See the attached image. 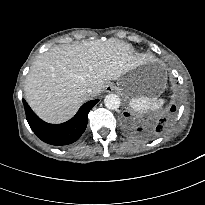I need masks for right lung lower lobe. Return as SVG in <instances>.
Listing matches in <instances>:
<instances>
[{
  "mask_svg": "<svg viewBox=\"0 0 205 205\" xmlns=\"http://www.w3.org/2000/svg\"><path fill=\"white\" fill-rule=\"evenodd\" d=\"M98 99L83 104L77 114L62 124H48L42 121L23 100L27 121L38 138L51 145H68L75 142L86 129L87 115L98 103Z\"/></svg>",
  "mask_w": 205,
  "mask_h": 205,
  "instance_id": "obj_1",
  "label": "right lung lower lobe"
}]
</instances>
